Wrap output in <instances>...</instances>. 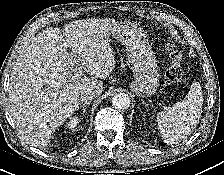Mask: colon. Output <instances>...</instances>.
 I'll return each instance as SVG.
<instances>
[{"label": "colon", "instance_id": "obj_1", "mask_svg": "<svg viewBox=\"0 0 224 175\" xmlns=\"http://www.w3.org/2000/svg\"><path fill=\"white\" fill-rule=\"evenodd\" d=\"M166 48L169 51L171 64L166 70V77L172 84L180 83L184 78L182 68L183 51L178 48L170 39L166 42Z\"/></svg>", "mask_w": 224, "mask_h": 175}]
</instances>
